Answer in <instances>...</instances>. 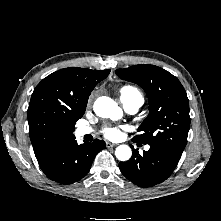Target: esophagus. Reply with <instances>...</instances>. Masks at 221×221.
I'll return each instance as SVG.
<instances>
[{"label": "esophagus", "instance_id": "esophagus-1", "mask_svg": "<svg viewBox=\"0 0 221 221\" xmlns=\"http://www.w3.org/2000/svg\"><path fill=\"white\" fill-rule=\"evenodd\" d=\"M115 146H117L116 144H113V143H110V142H106V147L107 148H113V147H115Z\"/></svg>", "mask_w": 221, "mask_h": 221}]
</instances>
